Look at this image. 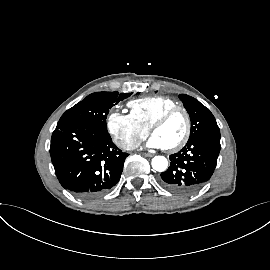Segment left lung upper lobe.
Segmentation results:
<instances>
[{
    "mask_svg": "<svg viewBox=\"0 0 270 270\" xmlns=\"http://www.w3.org/2000/svg\"><path fill=\"white\" fill-rule=\"evenodd\" d=\"M179 99L183 102L191 119V131L188 141L205 135L220 136L219 127L208 108L186 94H180Z\"/></svg>",
    "mask_w": 270,
    "mask_h": 270,
    "instance_id": "5c2ea615",
    "label": "left lung upper lobe"
}]
</instances>
